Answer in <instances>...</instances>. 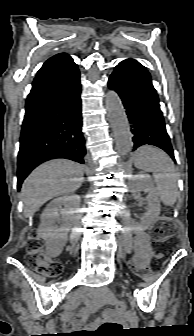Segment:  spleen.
<instances>
[{
  "label": "spleen",
  "mask_w": 194,
  "mask_h": 336,
  "mask_svg": "<svg viewBox=\"0 0 194 336\" xmlns=\"http://www.w3.org/2000/svg\"><path fill=\"white\" fill-rule=\"evenodd\" d=\"M134 164L138 169L153 173L160 200L173 206L178 197V176L171 158L164 151L146 145L136 151Z\"/></svg>",
  "instance_id": "3e777b00"
}]
</instances>
